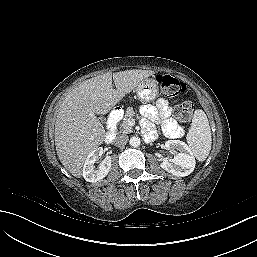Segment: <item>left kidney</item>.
<instances>
[{
    "label": "left kidney",
    "mask_w": 257,
    "mask_h": 257,
    "mask_svg": "<svg viewBox=\"0 0 257 257\" xmlns=\"http://www.w3.org/2000/svg\"><path fill=\"white\" fill-rule=\"evenodd\" d=\"M164 147L178 152L173 159H165L160 164L162 169L178 177L188 176L193 172L196 161L186 143L180 140H168Z\"/></svg>",
    "instance_id": "1"
}]
</instances>
